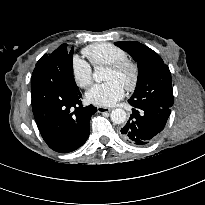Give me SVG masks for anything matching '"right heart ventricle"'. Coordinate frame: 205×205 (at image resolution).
<instances>
[{
    "label": "right heart ventricle",
    "mask_w": 205,
    "mask_h": 205,
    "mask_svg": "<svg viewBox=\"0 0 205 205\" xmlns=\"http://www.w3.org/2000/svg\"><path fill=\"white\" fill-rule=\"evenodd\" d=\"M83 54L94 67L107 66L128 58L125 50L109 42H98L83 49Z\"/></svg>",
    "instance_id": "right-heart-ventricle-1"
}]
</instances>
